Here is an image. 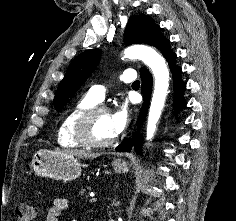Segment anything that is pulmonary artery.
Wrapping results in <instances>:
<instances>
[{
	"label": "pulmonary artery",
	"instance_id": "obj_1",
	"mask_svg": "<svg viewBox=\"0 0 236 221\" xmlns=\"http://www.w3.org/2000/svg\"><path fill=\"white\" fill-rule=\"evenodd\" d=\"M135 79H136L135 71L131 69L124 70L119 75V80L123 83H130L133 82ZM106 89H107L106 85L103 84L94 85L89 89L88 96L97 103H99L104 99Z\"/></svg>",
	"mask_w": 236,
	"mask_h": 221
}]
</instances>
